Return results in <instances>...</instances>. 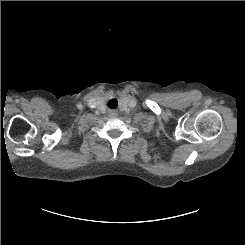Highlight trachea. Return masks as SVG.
I'll return each instance as SVG.
<instances>
[{"instance_id": "1", "label": "trachea", "mask_w": 245, "mask_h": 245, "mask_svg": "<svg viewBox=\"0 0 245 245\" xmlns=\"http://www.w3.org/2000/svg\"><path fill=\"white\" fill-rule=\"evenodd\" d=\"M108 107L109 108H116L117 107V100L116 99H111L109 102H108Z\"/></svg>"}]
</instances>
